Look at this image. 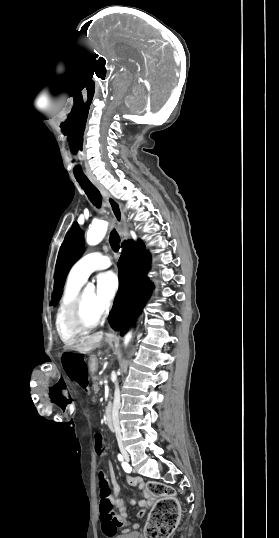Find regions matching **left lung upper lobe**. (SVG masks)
<instances>
[{
  "mask_svg": "<svg viewBox=\"0 0 279 538\" xmlns=\"http://www.w3.org/2000/svg\"><path fill=\"white\" fill-rule=\"evenodd\" d=\"M84 249V233L78 223L74 222L59 251L56 263L53 301L50 305H55L60 300L66 276L72 265L82 256Z\"/></svg>",
  "mask_w": 279,
  "mask_h": 538,
  "instance_id": "left-lung-upper-lobe-1",
  "label": "left lung upper lobe"
}]
</instances>
